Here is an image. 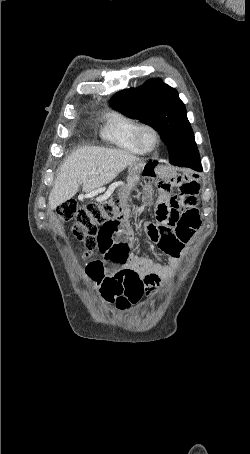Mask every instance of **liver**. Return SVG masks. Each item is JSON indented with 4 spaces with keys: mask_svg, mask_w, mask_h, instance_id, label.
<instances>
[{
    "mask_svg": "<svg viewBox=\"0 0 250 454\" xmlns=\"http://www.w3.org/2000/svg\"><path fill=\"white\" fill-rule=\"evenodd\" d=\"M143 166L140 159L126 151L103 147H81L61 165L48 204L55 209L71 199L82 185L83 191H94L110 183L127 166Z\"/></svg>",
    "mask_w": 250,
    "mask_h": 454,
    "instance_id": "obj_1",
    "label": "liver"
}]
</instances>
